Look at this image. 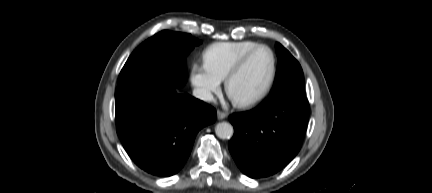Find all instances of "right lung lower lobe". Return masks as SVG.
I'll return each instance as SVG.
<instances>
[{"label": "right lung lower lobe", "instance_id": "right-lung-lower-lobe-1", "mask_svg": "<svg viewBox=\"0 0 432 193\" xmlns=\"http://www.w3.org/2000/svg\"><path fill=\"white\" fill-rule=\"evenodd\" d=\"M115 110L117 134L130 158L163 177L183 167L198 131L216 120L214 108L157 75L118 84Z\"/></svg>", "mask_w": 432, "mask_h": 193}]
</instances>
